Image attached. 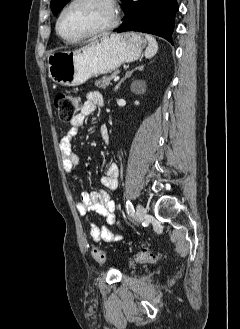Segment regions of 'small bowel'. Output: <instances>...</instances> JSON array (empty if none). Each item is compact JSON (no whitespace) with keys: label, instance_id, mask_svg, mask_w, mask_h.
Instances as JSON below:
<instances>
[{"label":"small bowel","instance_id":"small-bowel-1","mask_svg":"<svg viewBox=\"0 0 240 329\" xmlns=\"http://www.w3.org/2000/svg\"><path fill=\"white\" fill-rule=\"evenodd\" d=\"M105 105L103 96L97 92H89L81 111L71 121V126L66 134L61 138L60 151L62 164L66 173L70 174L79 164V157L72 149V140L76 138L86 119L99 107ZM100 136L105 144L109 143V133L105 125L100 128ZM119 168L115 163H109L105 167L104 174L100 178V183L104 187L97 192H83L80 201L76 204L78 213L85 217L89 223V234L96 241L113 242L124 238L125 226L115 215V203L110 199L107 190H116L118 186ZM96 213L105 219V224L98 226L89 220V215ZM106 225H113L120 229V233L111 232Z\"/></svg>","mask_w":240,"mask_h":329}]
</instances>
